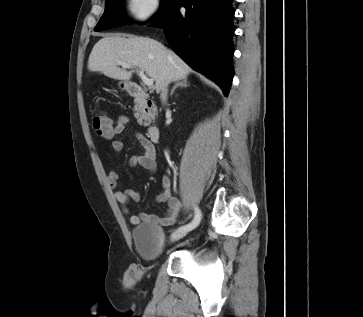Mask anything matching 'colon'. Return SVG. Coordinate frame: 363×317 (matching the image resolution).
Segmentation results:
<instances>
[{"label": "colon", "instance_id": "5ec220e1", "mask_svg": "<svg viewBox=\"0 0 363 317\" xmlns=\"http://www.w3.org/2000/svg\"><path fill=\"white\" fill-rule=\"evenodd\" d=\"M92 126L97 133L107 131L111 127L110 120L103 114L96 113L92 118Z\"/></svg>", "mask_w": 363, "mask_h": 317}]
</instances>
